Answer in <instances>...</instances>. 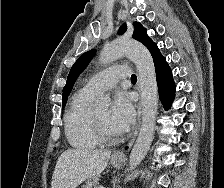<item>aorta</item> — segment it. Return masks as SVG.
I'll list each match as a JSON object with an SVG mask.
<instances>
[{
    "instance_id": "762f6f07",
    "label": "aorta",
    "mask_w": 224,
    "mask_h": 188,
    "mask_svg": "<svg viewBox=\"0 0 224 188\" xmlns=\"http://www.w3.org/2000/svg\"><path fill=\"white\" fill-rule=\"evenodd\" d=\"M121 56H127L136 65L141 92L142 124L130 154L129 165L132 169L145 157L153 141L158 108V89L154 62L144 45L131 39H116L102 48L99 61L107 64ZM108 102L107 98L101 97L96 101L95 108L107 107Z\"/></svg>"
}]
</instances>
